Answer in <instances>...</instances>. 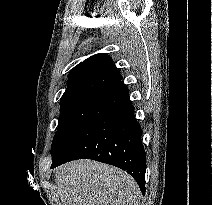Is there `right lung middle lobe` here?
<instances>
[{"label":"right lung middle lobe","mask_w":212,"mask_h":205,"mask_svg":"<svg viewBox=\"0 0 212 205\" xmlns=\"http://www.w3.org/2000/svg\"><path fill=\"white\" fill-rule=\"evenodd\" d=\"M100 99L101 95L87 96L61 104L58 130L51 149L52 159L65 149L94 112Z\"/></svg>","instance_id":"obj_1"}]
</instances>
